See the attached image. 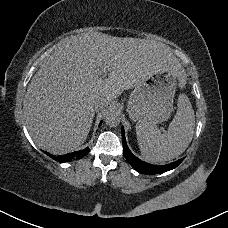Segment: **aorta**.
<instances>
[{"label":"aorta","mask_w":228,"mask_h":228,"mask_svg":"<svg viewBox=\"0 0 228 228\" xmlns=\"http://www.w3.org/2000/svg\"><path fill=\"white\" fill-rule=\"evenodd\" d=\"M105 122L110 127H116L120 124V116L116 111H109L105 116Z\"/></svg>","instance_id":"1"}]
</instances>
